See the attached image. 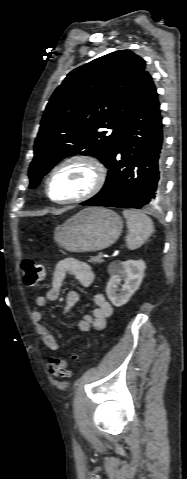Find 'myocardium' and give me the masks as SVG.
Segmentation results:
<instances>
[{
    "label": "myocardium",
    "instance_id": "obj_1",
    "mask_svg": "<svg viewBox=\"0 0 187 479\" xmlns=\"http://www.w3.org/2000/svg\"><path fill=\"white\" fill-rule=\"evenodd\" d=\"M76 162L84 163L91 168L93 172V181L91 186L84 193L76 197L66 199V200L53 199L49 193L50 181L52 180V178L58 171L63 169L65 166L71 163H76ZM105 182H106V170L103 164L93 155L86 154V153H78V154H74V155L66 157L65 159L60 161L56 166L53 167V169L50 171V173L48 174L45 180L44 192L46 197L53 203L61 204V205L76 204V203H81L86 200H89L95 195H97L103 188Z\"/></svg>",
    "mask_w": 187,
    "mask_h": 479
}]
</instances>
